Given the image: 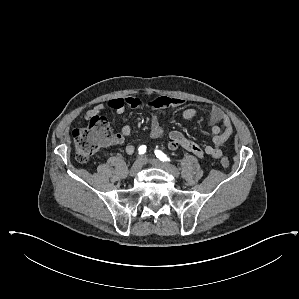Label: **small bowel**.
Masks as SVG:
<instances>
[{
	"label": "small bowel",
	"mask_w": 299,
	"mask_h": 299,
	"mask_svg": "<svg viewBox=\"0 0 299 299\" xmlns=\"http://www.w3.org/2000/svg\"><path fill=\"white\" fill-rule=\"evenodd\" d=\"M185 101L178 97L161 96L151 101L144 102L138 97L127 96L125 98H113L108 101V106L114 110L117 115H121L125 112L126 107L136 109H147L149 111L165 108V107H181ZM104 110L103 104H97L89 109L86 113V118L90 119L93 116L100 115ZM200 114V110L194 107H187L182 110V117L185 120H190L197 117ZM150 122V135L153 138H159L164 135V129L160 123L159 118L151 113L149 116ZM207 122L210 125L212 133V144L204 147L200 146L195 141L186 137L180 131H171L168 135V147L171 150H177L183 148L194 155L203 158L209 156L212 158H219L222 155L221 147L228 141L233 134V125L229 116L218 107H213L207 116ZM132 132L130 125H124L121 128V133L115 135L113 144H121L124 137L129 136ZM125 152L127 154H133L135 152V146L133 144H127L125 146Z\"/></svg>",
	"instance_id": "c3829d8e"
}]
</instances>
